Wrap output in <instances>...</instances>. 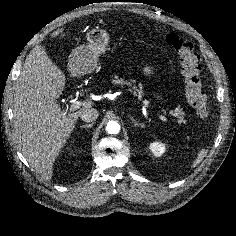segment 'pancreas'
<instances>
[{"label": "pancreas", "instance_id": "cf45deb5", "mask_svg": "<svg viewBox=\"0 0 236 236\" xmlns=\"http://www.w3.org/2000/svg\"><path fill=\"white\" fill-rule=\"evenodd\" d=\"M112 84L116 85L119 84L121 86L123 85H128V86H132V81H128L122 78H118V76H114L111 79ZM135 92V95L138 96L139 99L142 98V96L144 95V91L142 90V88L137 89V87H133ZM173 116L178 118V122L179 123H185L186 121L184 120V112L183 109L180 107L175 108V110L172 112Z\"/></svg>", "mask_w": 236, "mask_h": 236}]
</instances>
